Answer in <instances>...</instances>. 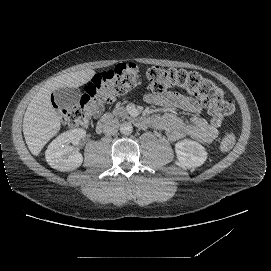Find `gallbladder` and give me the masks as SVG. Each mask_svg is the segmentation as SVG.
Here are the masks:
<instances>
[{"label": "gallbladder", "mask_w": 271, "mask_h": 271, "mask_svg": "<svg viewBox=\"0 0 271 271\" xmlns=\"http://www.w3.org/2000/svg\"><path fill=\"white\" fill-rule=\"evenodd\" d=\"M56 103L65 111H74L81 104V94L74 87H60L55 90Z\"/></svg>", "instance_id": "1"}]
</instances>
